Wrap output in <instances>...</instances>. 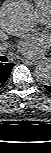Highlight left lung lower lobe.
<instances>
[{"instance_id": "left-lung-lower-lobe-1", "label": "left lung lower lobe", "mask_w": 51, "mask_h": 153, "mask_svg": "<svg viewBox=\"0 0 51 153\" xmlns=\"http://www.w3.org/2000/svg\"><path fill=\"white\" fill-rule=\"evenodd\" d=\"M45 88H46L49 92H51V84L45 85Z\"/></svg>"}]
</instances>
